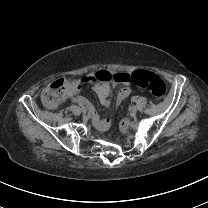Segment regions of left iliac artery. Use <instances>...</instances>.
I'll return each instance as SVG.
<instances>
[{
  "instance_id": "44dca946",
  "label": "left iliac artery",
  "mask_w": 208,
  "mask_h": 208,
  "mask_svg": "<svg viewBox=\"0 0 208 208\" xmlns=\"http://www.w3.org/2000/svg\"><path fill=\"white\" fill-rule=\"evenodd\" d=\"M133 102H135L137 99H136V97H132V99H131Z\"/></svg>"
}]
</instances>
